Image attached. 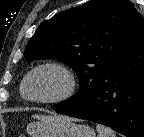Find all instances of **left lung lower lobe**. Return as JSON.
I'll return each mask as SVG.
<instances>
[{
  "label": "left lung lower lobe",
  "mask_w": 144,
  "mask_h": 137,
  "mask_svg": "<svg viewBox=\"0 0 144 137\" xmlns=\"http://www.w3.org/2000/svg\"><path fill=\"white\" fill-rule=\"evenodd\" d=\"M56 112L109 126L127 137H144V29L85 96L61 103Z\"/></svg>",
  "instance_id": "0a47b994"
}]
</instances>
